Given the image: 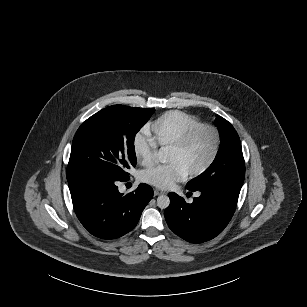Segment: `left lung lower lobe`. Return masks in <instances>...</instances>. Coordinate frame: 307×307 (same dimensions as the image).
<instances>
[{
    "instance_id": "1",
    "label": "left lung lower lobe",
    "mask_w": 307,
    "mask_h": 307,
    "mask_svg": "<svg viewBox=\"0 0 307 307\" xmlns=\"http://www.w3.org/2000/svg\"><path fill=\"white\" fill-rule=\"evenodd\" d=\"M201 195L188 204L175 193H169L170 205L165 210L169 228L191 243L208 241L227 226L238 201V196L227 191L199 190Z\"/></svg>"
}]
</instances>
